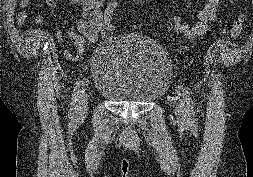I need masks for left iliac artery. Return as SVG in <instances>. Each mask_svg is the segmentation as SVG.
Returning <instances> with one entry per match:
<instances>
[{
	"mask_svg": "<svg viewBox=\"0 0 253 177\" xmlns=\"http://www.w3.org/2000/svg\"><path fill=\"white\" fill-rule=\"evenodd\" d=\"M180 88L182 90V97L185 104L186 114L189 117L190 123L194 124L196 119L192 98L190 96L189 91L186 88H184L183 86H180Z\"/></svg>",
	"mask_w": 253,
	"mask_h": 177,
	"instance_id": "44dca946",
	"label": "left iliac artery"
}]
</instances>
